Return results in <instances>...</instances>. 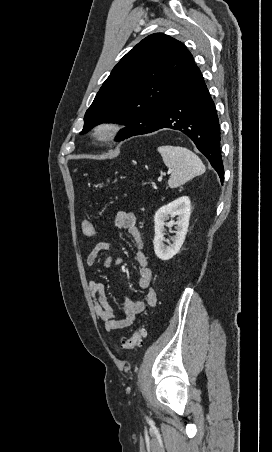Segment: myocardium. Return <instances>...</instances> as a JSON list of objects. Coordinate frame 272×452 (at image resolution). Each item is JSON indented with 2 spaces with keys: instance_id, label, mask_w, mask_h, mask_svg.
<instances>
[{
  "instance_id": "obj_1",
  "label": "myocardium",
  "mask_w": 272,
  "mask_h": 452,
  "mask_svg": "<svg viewBox=\"0 0 272 452\" xmlns=\"http://www.w3.org/2000/svg\"><path fill=\"white\" fill-rule=\"evenodd\" d=\"M118 126L112 122H103L96 125L92 130V136L97 141L105 142L112 140L118 133Z\"/></svg>"
}]
</instances>
